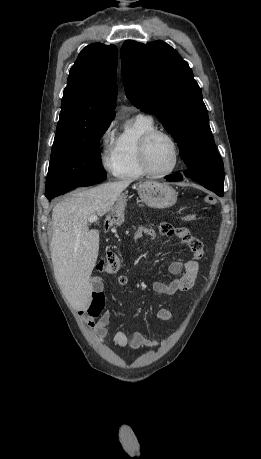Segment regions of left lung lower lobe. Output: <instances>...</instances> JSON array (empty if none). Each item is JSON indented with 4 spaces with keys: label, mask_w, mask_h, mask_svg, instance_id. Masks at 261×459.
<instances>
[{
    "label": "left lung lower lobe",
    "mask_w": 261,
    "mask_h": 459,
    "mask_svg": "<svg viewBox=\"0 0 261 459\" xmlns=\"http://www.w3.org/2000/svg\"><path fill=\"white\" fill-rule=\"evenodd\" d=\"M167 181H181L182 176L180 173H176L175 175H169L165 177ZM192 180L202 184L205 188L215 192L218 196L222 197L224 195L223 191V184H224V177L216 176V175H204L200 177H194Z\"/></svg>",
    "instance_id": "1"
}]
</instances>
